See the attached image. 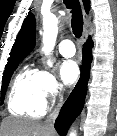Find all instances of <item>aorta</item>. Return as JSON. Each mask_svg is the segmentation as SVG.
Returning a JSON list of instances; mask_svg holds the SVG:
<instances>
[{
    "label": "aorta",
    "mask_w": 117,
    "mask_h": 136,
    "mask_svg": "<svg viewBox=\"0 0 117 136\" xmlns=\"http://www.w3.org/2000/svg\"><path fill=\"white\" fill-rule=\"evenodd\" d=\"M58 34V18L55 15H49L43 19V47L45 54L49 55L54 49L56 38ZM51 67L52 62L48 61ZM69 136H77L76 131H71Z\"/></svg>",
    "instance_id": "762f6f07"
}]
</instances>
